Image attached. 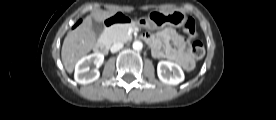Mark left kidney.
I'll return each instance as SVG.
<instances>
[{
	"label": "left kidney",
	"mask_w": 276,
	"mask_h": 120,
	"mask_svg": "<svg viewBox=\"0 0 276 120\" xmlns=\"http://www.w3.org/2000/svg\"><path fill=\"white\" fill-rule=\"evenodd\" d=\"M157 74L163 83L169 85H178L185 78L181 67L170 61H160L157 65Z\"/></svg>",
	"instance_id": "1"
}]
</instances>
